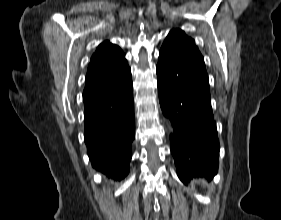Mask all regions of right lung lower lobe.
Instances as JSON below:
<instances>
[{
    "label": "right lung lower lobe",
    "instance_id": "right-lung-lower-lobe-1",
    "mask_svg": "<svg viewBox=\"0 0 281 220\" xmlns=\"http://www.w3.org/2000/svg\"><path fill=\"white\" fill-rule=\"evenodd\" d=\"M84 138L93 168L116 181L129 172L134 132L131 78L115 89L83 94Z\"/></svg>",
    "mask_w": 281,
    "mask_h": 220
}]
</instances>
